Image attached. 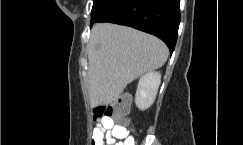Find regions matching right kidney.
I'll list each match as a JSON object with an SVG mask.
<instances>
[{
  "instance_id": "obj_1",
  "label": "right kidney",
  "mask_w": 243,
  "mask_h": 145,
  "mask_svg": "<svg viewBox=\"0 0 243 145\" xmlns=\"http://www.w3.org/2000/svg\"><path fill=\"white\" fill-rule=\"evenodd\" d=\"M161 83L159 72H148L139 79L135 104L140 110L148 109L154 102Z\"/></svg>"
}]
</instances>
